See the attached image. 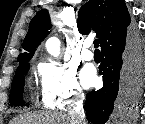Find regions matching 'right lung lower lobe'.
<instances>
[{"label":"right lung lower lobe","instance_id":"right-lung-lower-lobe-1","mask_svg":"<svg viewBox=\"0 0 145 124\" xmlns=\"http://www.w3.org/2000/svg\"><path fill=\"white\" fill-rule=\"evenodd\" d=\"M103 87L87 94L85 110L93 124L107 122L114 108L132 112L145 83V50L139 33L129 26L101 45Z\"/></svg>","mask_w":145,"mask_h":124}]
</instances>
